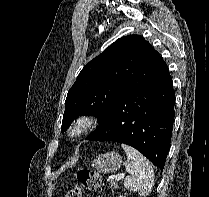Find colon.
Instances as JSON below:
<instances>
[{
  "label": "colon",
  "instance_id": "obj_1",
  "mask_svg": "<svg viewBox=\"0 0 209 197\" xmlns=\"http://www.w3.org/2000/svg\"><path fill=\"white\" fill-rule=\"evenodd\" d=\"M77 179L80 186L69 188L65 197H83L86 191H94L102 186L100 174L94 171L80 170L77 174Z\"/></svg>",
  "mask_w": 209,
  "mask_h": 197
}]
</instances>
